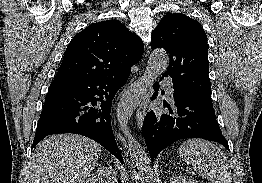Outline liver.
Returning a JSON list of instances; mask_svg holds the SVG:
<instances>
[{"instance_id": "obj_1", "label": "liver", "mask_w": 262, "mask_h": 183, "mask_svg": "<svg viewBox=\"0 0 262 183\" xmlns=\"http://www.w3.org/2000/svg\"><path fill=\"white\" fill-rule=\"evenodd\" d=\"M101 154L95 141L77 134H56L35 148L28 183H83Z\"/></svg>"}]
</instances>
